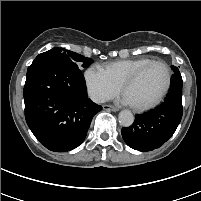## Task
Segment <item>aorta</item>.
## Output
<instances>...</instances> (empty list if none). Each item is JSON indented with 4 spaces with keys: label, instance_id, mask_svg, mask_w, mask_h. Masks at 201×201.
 Here are the masks:
<instances>
[{
    "label": "aorta",
    "instance_id": "762f6f07",
    "mask_svg": "<svg viewBox=\"0 0 201 201\" xmlns=\"http://www.w3.org/2000/svg\"><path fill=\"white\" fill-rule=\"evenodd\" d=\"M119 123L124 127H129L134 122V116L129 110H122L118 115Z\"/></svg>",
    "mask_w": 201,
    "mask_h": 201
}]
</instances>
